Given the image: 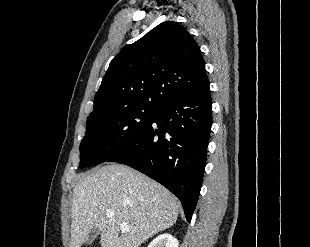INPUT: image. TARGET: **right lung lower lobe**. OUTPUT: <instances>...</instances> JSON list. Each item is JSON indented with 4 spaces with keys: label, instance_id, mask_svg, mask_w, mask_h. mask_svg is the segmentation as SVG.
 <instances>
[{
    "label": "right lung lower lobe",
    "instance_id": "obj_1",
    "mask_svg": "<svg viewBox=\"0 0 310 247\" xmlns=\"http://www.w3.org/2000/svg\"><path fill=\"white\" fill-rule=\"evenodd\" d=\"M207 81L156 110L137 139L108 161L156 180L182 202L190 222L199 197L212 123Z\"/></svg>",
    "mask_w": 310,
    "mask_h": 247
}]
</instances>
